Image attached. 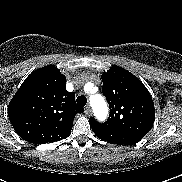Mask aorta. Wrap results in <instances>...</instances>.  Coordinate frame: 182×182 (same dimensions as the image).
<instances>
[{"label": "aorta", "mask_w": 182, "mask_h": 182, "mask_svg": "<svg viewBox=\"0 0 182 182\" xmlns=\"http://www.w3.org/2000/svg\"><path fill=\"white\" fill-rule=\"evenodd\" d=\"M90 103L98 120L103 121L108 115V107L101 95H93L90 98Z\"/></svg>", "instance_id": "obj_1"}]
</instances>
